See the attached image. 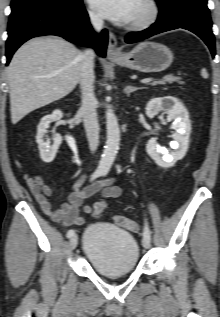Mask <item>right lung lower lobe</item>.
<instances>
[{"label":"right lung lower lobe","mask_w":220,"mask_h":317,"mask_svg":"<svg viewBox=\"0 0 220 317\" xmlns=\"http://www.w3.org/2000/svg\"><path fill=\"white\" fill-rule=\"evenodd\" d=\"M8 35L7 64L21 44L36 36L57 35L76 44H91L102 57L105 56L108 42L106 30L100 35L93 33L82 3L72 9L33 6L12 12L8 23Z\"/></svg>","instance_id":"right-lung-lower-lobe-1"}]
</instances>
